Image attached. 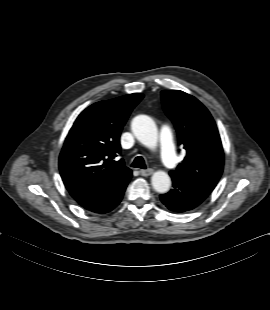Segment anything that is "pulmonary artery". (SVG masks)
<instances>
[{"label":"pulmonary artery","instance_id":"1","mask_svg":"<svg viewBox=\"0 0 270 310\" xmlns=\"http://www.w3.org/2000/svg\"><path fill=\"white\" fill-rule=\"evenodd\" d=\"M161 161L164 164L165 167L168 169L174 168L176 166V155L173 148L172 143V135L167 127H163L161 130Z\"/></svg>","mask_w":270,"mask_h":310}]
</instances>
